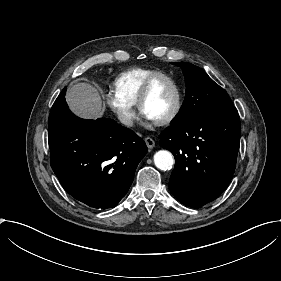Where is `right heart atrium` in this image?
Listing matches in <instances>:
<instances>
[{
	"mask_svg": "<svg viewBox=\"0 0 281 281\" xmlns=\"http://www.w3.org/2000/svg\"><path fill=\"white\" fill-rule=\"evenodd\" d=\"M105 98L108 105L122 124L132 126L135 123L137 119V111L133 105L120 99L116 92L112 90L105 94Z\"/></svg>",
	"mask_w": 281,
	"mask_h": 281,
	"instance_id": "obj_1",
	"label": "right heart atrium"
}]
</instances>
